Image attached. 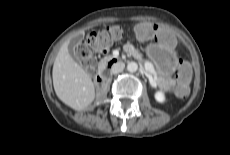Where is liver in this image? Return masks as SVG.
Instances as JSON below:
<instances>
[{
    "label": "liver",
    "instance_id": "6515ba94",
    "mask_svg": "<svg viewBox=\"0 0 230 155\" xmlns=\"http://www.w3.org/2000/svg\"><path fill=\"white\" fill-rule=\"evenodd\" d=\"M70 40L60 48L53 64V86L58 98L74 110L86 109L95 98V87L89 74L77 64L68 51Z\"/></svg>",
    "mask_w": 230,
    "mask_h": 155
}]
</instances>
